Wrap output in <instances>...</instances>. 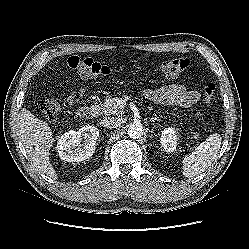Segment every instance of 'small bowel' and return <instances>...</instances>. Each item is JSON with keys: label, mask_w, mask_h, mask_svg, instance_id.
Returning <instances> with one entry per match:
<instances>
[{"label": "small bowel", "mask_w": 249, "mask_h": 249, "mask_svg": "<svg viewBox=\"0 0 249 249\" xmlns=\"http://www.w3.org/2000/svg\"><path fill=\"white\" fill-rule=\"evenodd\" d=\"M83 92L81 88H72L68 95L69 102L73 103ZM144 93L152 101L181 107H190L200 99L198 91L188 90L180 84H170L155 90L147 89Z\"/></svg>", "instance_id": "small-bowel-1"}]
</instances>
